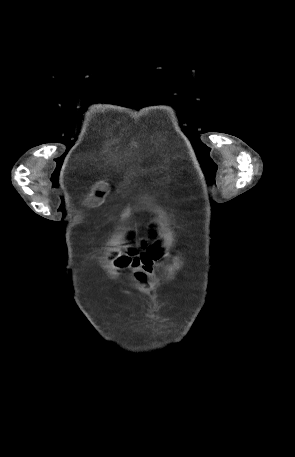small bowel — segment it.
<instances>
[{
  "label": "small bowel",
  "mask_w": 295,
  "mask_h": 457,
  "mask_svg": "<svg viewBox=\"0 0 295 457\" xmlns=\"http://www.w3.org/2000/svg\"><path fill=\"white\" fill-rule=\"evenodd\" d=\"M162 256V248L159 244L150 246L144 255L132 259L134 267V276L138 281H145L155 271L163 269V265L159 263Z\"/></svg>",
  "instance_id": "obj_1"
}]
</instances>
